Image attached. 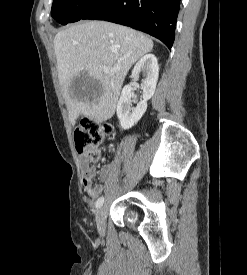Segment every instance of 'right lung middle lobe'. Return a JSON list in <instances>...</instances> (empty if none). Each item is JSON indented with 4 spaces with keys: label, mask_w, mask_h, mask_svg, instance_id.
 I'll list each match as a JSON object with an SVG mask.
<instances>
[{
    "label": "right lung middle lobe",
    "mask_w": 247,
    "mask_h": 275,
    "mask_svg": "<svg viewBox=\"0 0 247 275\" xmlns=\"http://www.w3.org/2000/svg\"><path fill=\"white\" fill-rule=\"evenodd\" d=\"M102 0H53L51 15L60 24L76 22Z\"/></svg>",
    "instance_id": "obj_1"
}]
</instances>
